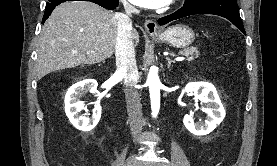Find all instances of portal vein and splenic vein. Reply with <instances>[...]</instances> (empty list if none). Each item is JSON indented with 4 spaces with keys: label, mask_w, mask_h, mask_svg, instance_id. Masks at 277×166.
Here are the masks:
<instances>
[{
    "label": "portal vein and splenic vein",
    "mask_w": 277,
    "mask_h": 166,
    "mask_svg": "<svg viewBox=\"0 0 277 166\" xmlns=\"http://www.w3.org/2000/svg\"><path fill=\"white\" fill-rule=\"evenodd\" d=\"M185 59V57L181 56V57H177L175 60L176 61H183Z\"/></svg>",
    "instance_id": "obj_1"
}]
</instances>
